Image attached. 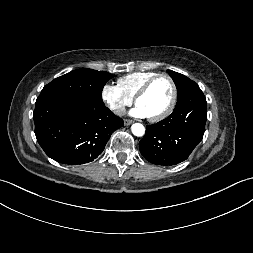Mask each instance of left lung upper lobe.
Returning <instances> with one entry per match:
<instances>
[{
    "mask_svg": "<svg viewBox=\"0 0 253 253\" xmlns=\"http://www.w3.org/2000/svg\"><path fill=\"white\" fill-rule=\"evenodd\" d=\"M167 72L175 82L178 91V99H180L192 87V85L196 84L183 74L172 70H167Z\"/></svg>",
    "mask_w": 253,
    "mask_h": 253,
    "instance_id": "5c2ea615",
    "label": "left lung upper lobe"
}]
</instances>
